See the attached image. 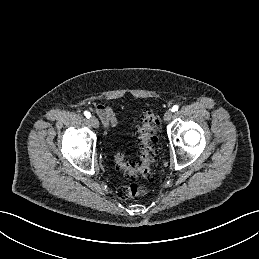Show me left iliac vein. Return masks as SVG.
<instances>
[{
  "label": "left iliac vein",
  "instance_id": "obj_1",
  "mask_svg": "<svg viewBox=\"0 0 259 259\" xmlns=\"http://www.w3.org/2000/svg\"><path fill=\"white\" fill-rule=\"evenodd\" d=\"M173 113L171 110H167L164 114V121L169 122L172 119Z\"/></svg>",
  "mask_w": 259,
  "mask_h": 259
}]
</instances>
